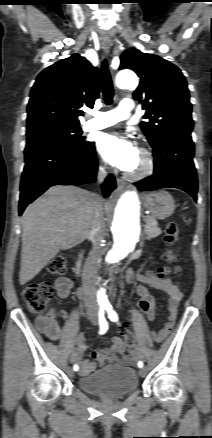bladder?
<instances>
[{"mask_svg":"<svg viewBox=\"0 0 212 438\" xmlns=\"http://www.w3.org/2000/svg\"><path fill=\"white\" fill-rule=\"evenodd\" d=\"M78 386L102 398H117L134 392L138 387V379L132 368L109 367L81 377Z\"/></svg>","mask_w":212,"mask_h":438,"instance_id":"obj_1","label":"bladder"}]
</instances>
